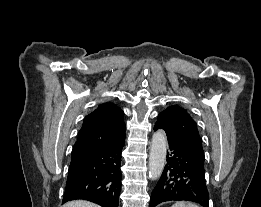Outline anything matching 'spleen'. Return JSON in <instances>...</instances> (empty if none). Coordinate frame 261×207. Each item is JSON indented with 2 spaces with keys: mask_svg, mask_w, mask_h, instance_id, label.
Here are the masks:
<instances>
[{
  "mask_svg": "<svg viewBox=\"0 0 261 207\" xmlns=\"http://www.w3.org/2000/svg\"><path fill=\"white\" fill-rule=\"evenodd\" d=\"M172 207H200V206L190 202L180 201V202H176Z\"/></svg>",
  "mask_w": 261,
  "mask_h": 207,
  "instance_id": "3e777b00",
  "label": "spleen"
}]
</instances>
